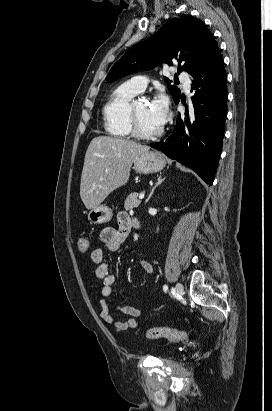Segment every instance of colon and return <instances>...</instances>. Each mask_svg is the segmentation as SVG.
I'll return each mask as SVG.
<instances>
[{
  "label": "colon",
  "mask_w": 272,
  "mask_h": 411,
  "mask_svg": "<svg viewBox=\"0 0 272 411\" xmlns=\"http://www.w3.org/2000/svg\"><path fill=\"white\" fill-rule=\"evenodd\" d=\"M90 242L87 238L81 237L78 241L80 251L85 252L89 249ZM146 335L152 339H167L170 341H187L190 336L187 332L169 327H152L146 330Z\"/></svg>",
  "instance_id": "colon-1"
}]
</instances>
